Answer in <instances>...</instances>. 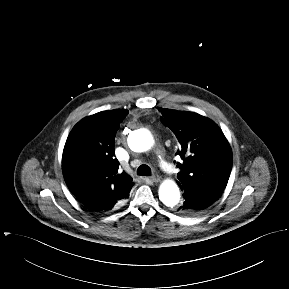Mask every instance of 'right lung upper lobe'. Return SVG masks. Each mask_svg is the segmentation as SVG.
Here are the masks:
<instances>
[{
	"mask_svg": "<svg viewBox=\"0 0 289 289\" xmlns=\"http://www.w3.org/2000/svg\"><path fill=\"white\" fill-rule=\"evenodd\" d=\"M125 109L102 111L79 121L70 132L62 156L69 190L88 209L108 211L129 197L134 183L120 173L114 139Z\"/></svg>",
	"mask_w": 289,
	"mask_h": 289,
	"instance_id": "right-lung-upper-lobe-1",
	"label": "right lung upper lobe"
}]
</instances>
